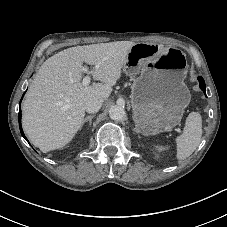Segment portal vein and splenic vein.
I'll return each instance as SVG.
<instances>
[{"instance_id":"18ae733b","label":"portal vein and splenic vein","mask_w":227,"mask_h":227,"mask_svg":"<svg viewBox=\"0 0 227 227\" xmlns=\"http://www.w3.org/2000/svg\"><path fill=\"white\" fill-rule=\"evenodd\" d=\"M95 68H99V64L95 66ZM84 71L88 72V68H83ZM90 81H91V77L89 75H86L84 78H83V81H82V84L84 86H87L90 84ZM177 132H181L180 129H177Z\"/></svg>"}]
</instances>
